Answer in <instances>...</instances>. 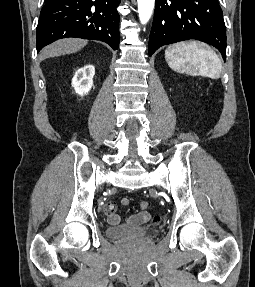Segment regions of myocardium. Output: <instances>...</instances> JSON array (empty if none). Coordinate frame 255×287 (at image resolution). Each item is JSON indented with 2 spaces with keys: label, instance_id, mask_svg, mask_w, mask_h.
Masks as SVG:
<instances>
[{
  "label": "myocardium",
  "instance_id": "obj_1",
  "mask_svg": "<svg viewBox=\"0 0 255 287\" xmlns=\"http://www.w3.org/2000/svg\"><path fill=\"white\" fill-rule=\"evenodd\" d=\"M155 48H168V47H155Z\"/></svg>",
  "mask_w": 255,
  "mask_h": 287
}]
</instances>
